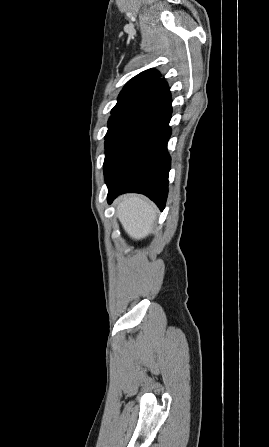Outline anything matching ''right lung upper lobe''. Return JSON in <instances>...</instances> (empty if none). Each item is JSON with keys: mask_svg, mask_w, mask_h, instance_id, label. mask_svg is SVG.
<instances>
[{"mask_svg": "<svg viewBox=\"0 0 269 447\" xmlns=\"http://www.w3.org/2000/svg\"><path fill=\"white\" fill-rule=\"evenodd\" d=\"M169 90L165 80L154 69L144 71L131 79L123 88L111 113H132L146 107Z\"/></svg>", "mask_w": 269, "mask_h": 447, "instance_id": "obj_1", "label": "right lung upper lobe"}]
</instances>
